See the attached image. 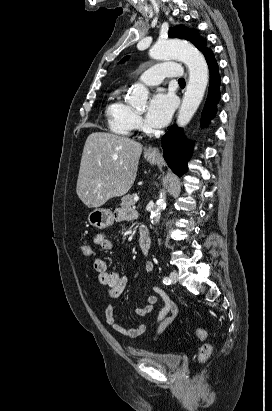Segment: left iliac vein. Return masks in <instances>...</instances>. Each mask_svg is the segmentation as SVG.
I'll return each mask as SVG.
<instances>
[{"label": "left iliac vein", "instance_id": "4c4485c4", "mask_svg": "<svg viewBox=\"0 0 272 411\" xmlns=\"http://www.w3.org/2000/svg\"><path fill=\"white\" fill-rule=\"evenodd\" d=\"M170 279L173 284L177 283L178 281V274L177 272L173 271L170 273Z\"/></svg>", "mask_w": 272, "mask_h": 411}]
</instances>
